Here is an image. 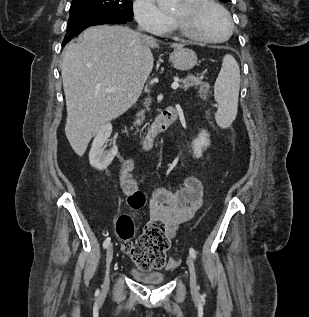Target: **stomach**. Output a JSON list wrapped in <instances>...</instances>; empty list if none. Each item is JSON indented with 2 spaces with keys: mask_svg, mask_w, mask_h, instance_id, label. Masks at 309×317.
Segmentation results:
<instances>
[{
  "mask_svg": "<svg viewBox=\"0 0 309 317\" xmlns=\"http://www.w3.org/2000/svg\"><path fill=\"white\" fill-rule=\"evenodd\" d=\"M170 61L180 71H188L197 64L196 53L189 48H177L170 54Z\"/></svg>",
  "mask_w": 309,
  "mask_h": 317,
  "instance_id": "0dacf381",
  "label": "stomach"
}]
</instances>
